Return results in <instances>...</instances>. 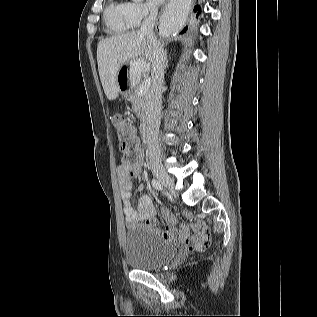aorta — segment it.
I'll return each instance as SVG.
<instances>
[{"label":"aorta","mask_w":317,"mask_h":317,"mask_svg":"<svg viewBox=\"0 0 317 317\" xmlns=\"http://www.w3.org/2000/svg\"><path fill=\"white\" fill-rule=\"evenodd\" d=\"M135 2H141L142 0H133ZM180 16L178 13L169 9L162 18L161 30L165 34H171L174 32L180 25Z\"/></svg>","instance_id":"762f6f07"}]
</instances>
